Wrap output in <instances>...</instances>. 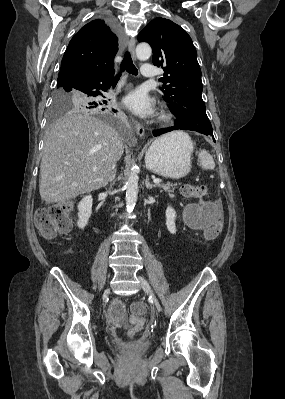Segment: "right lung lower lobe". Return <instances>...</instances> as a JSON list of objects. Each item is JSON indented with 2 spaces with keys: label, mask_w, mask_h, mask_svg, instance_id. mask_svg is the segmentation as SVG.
Returning a JSON list of instances; mask_svg holds the SVG:
<instances>
[{
  "label": "right lung lower lobe",
  "mask_w": 285,
  "mask_h": 399,
  "mask_svg": "<svg viewBox=\"0 0 285 399\" xmlns=\"http://www.w3.org/2000/svg\"><path fill=\"white\" fill-rule=\"evenodd\" d=\"M108 23L111 26V28L116 32V27L111 22ZM113 73L109 72L84 73L78 76L74 81H72L69 86L77 90H80L85 94L94 98L99 95H102V91L107 90V88L111 83ZM98 104L101 105L102 103L98 102Z\"/></svg>",
  "instance_id": "1"
}]
</instances>
